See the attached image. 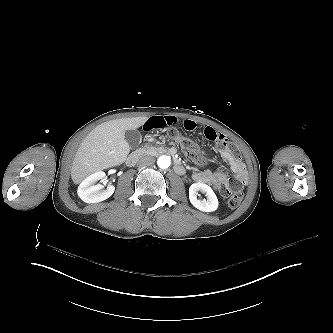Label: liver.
I'll list each match as a JSON object with an SVG mask.
<instances>
[{"label": "liver", "instance_id": "obj_1", "mask_svg": "<svg viewBox=\"0 0 333 333\" xmlns=\"http://www.w3.org/2000/svg\"><path fill=\"white\" fill-rule=\"evenodd\" d=\"M147 120V116L114 119L94 128L75 154L71 168L73 183L80 184L92 173L125 163L130 153L125 132L140 128Z\"/></svg>", "mask_w": 333, "mask_h": 333}]
</instances>
